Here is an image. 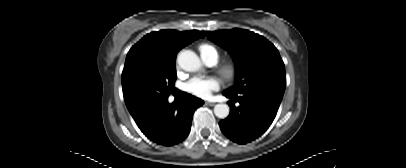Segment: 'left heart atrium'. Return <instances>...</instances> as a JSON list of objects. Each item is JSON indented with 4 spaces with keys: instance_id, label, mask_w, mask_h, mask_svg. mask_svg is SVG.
<instances>
[{
    "instance_id": "obj_1",
    "label": "left heart atrium",
    "mask_w": 406,
    "mask_h": 168,
    "mask_svg": "<svg viewBox=\"0 0 406 168\" xmlns=\"http://www.w3.org/2000/svg\"><path fill=\"white\" fill-rule=\"evenodd\" d=\"M220 87V81L214 77H193L186 85L189 93L200 97L207 98L213 91Z\"/></svg>"
}]
</instances>
